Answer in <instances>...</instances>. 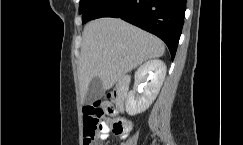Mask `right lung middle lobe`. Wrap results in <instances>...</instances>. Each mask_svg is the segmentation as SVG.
Segmentation results:
<instances>
[{
	"instance_id": "right-lung-middle-lobe-1",
	"label": "right lung middle lobe",
	"mask_w": 243,
	"mask_h": 145,
	"mask_svg": "<svg viewBox=\"0 0 243 145\" xmlns=\"http://www.w3.org/2000/svg\"><path fill=\"white\" fill-rule=\"evenodd\" d=\"M94 0H80L79 14H82Z\"/></svg>"
}]
</instances>
